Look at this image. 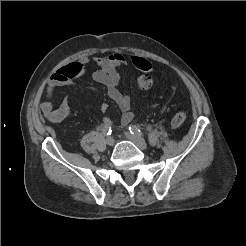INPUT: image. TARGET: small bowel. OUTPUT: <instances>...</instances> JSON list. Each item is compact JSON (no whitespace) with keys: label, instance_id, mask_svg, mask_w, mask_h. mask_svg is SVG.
Instances as JSON below:
<instances>
[{"label":"small bowel","instance_id":"small-bowel-1","mask_svg":"<svg viewBox=\"0 0 246 246\" xmlns=\"http://www.w3.org/2000/svg\"><path fill=\"white\" fill-rule=\"evenodd\" d=\"M93 63L98 69L93 73V78L107 88V94L120 108L121 122L129 123L134 117L131 98L123 94L119 88L120 75L117 68L127 64L123 53L117 52L104 57L83 58L74 63L68 64L54 72L47 84L45 100L40 104V110L44 116L51 122L59 123L69 115L68 101L65 99L55 107L52 103L55 90L61 86L75 85V79L83 75L87 64ZM108 109L106 102L101 103V110L105 113ZM104 124L109 126L113 124L107 116L103 117Z\"/></svg>","mask_w":246,"mask_h":246}]
</instances>
